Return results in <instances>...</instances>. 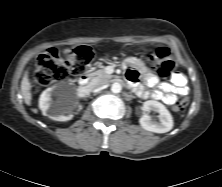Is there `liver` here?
<instances>
[{
    "label": "liver",
    "instance_id": "liver-1",
    "mask_svg": "<svg viewBox=\"0 0 222 187\" xmlns=\"http://www.w3.org/2000/svg\"><path fill=\"white\" fill-rule=\"evenodd\" d=\"M21 94L23 96L24 102L26 105H31L32 94H31V85L29 81V72L25 71L24 76L21 81Z\"/></svg>",
    "mask_w": 222,
    "mask_h": 187
}]
</instances>
